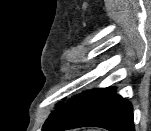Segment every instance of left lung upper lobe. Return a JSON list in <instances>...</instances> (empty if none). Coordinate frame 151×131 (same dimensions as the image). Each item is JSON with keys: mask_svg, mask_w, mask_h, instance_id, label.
<instances>
[{"mask_svg": "<svg viewBox=\"0 0 151 131\" xmlns=\"http://www.w3.org/2000/svg\"><path fill=\"white\" fill-rule=\"evenodd\" d=\"M61 103H62V102L58 103V104L56 105V107L60 106V105H61Z\"/></svg>", "mask_w": 151, "mask_h": 131, "instance_id": "5c2ea615", "label": "left lung upper lobe"}]
</instances>
